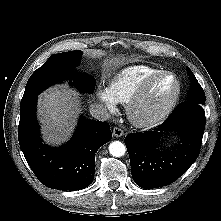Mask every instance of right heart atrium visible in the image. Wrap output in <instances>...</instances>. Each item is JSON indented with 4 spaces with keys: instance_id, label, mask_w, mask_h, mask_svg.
I'll return each mask as SVG.
<instances>
[{
    "instance_id": "right-heart-atrium-1",
    "label": "right heart atrium",
    "mask_w": 221,
    "mask_h": 221,
    "mask_svg": "<svg viewBox=\"0 0 221 221\" xmlns=\"http://www.w3.org/2000/svg\"><path fill=\"white\" fill-rule=\"evenodd\" d=\"M99 100L102 102V104L105 106V108L111 112L114 113L117 109V103L112 98L111 94L109 93V90L107 88H99L97 92Z\"/></svg>"
}]
</instances>
